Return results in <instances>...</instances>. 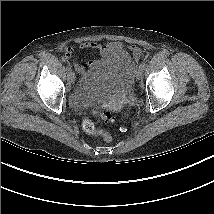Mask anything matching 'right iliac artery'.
Returning a JSON list of instances; mask_svg holds the SVG:
<instances>
[{
  "mask_svg": "<svg viewBox=\"0 0 214 214\" xmlns=\"http://www.w3.org/2000/svg\"><path fill=\"white\" fill-rule=\"evenodd\" d=\"M67 69H68V71H69L70 67L68 66Z\"/></svg>",
  "mask_w": 214,
  "mask_h": 214,
  "instance_id": "1",
  "label": "right iliac artery"
}]
</instances>
